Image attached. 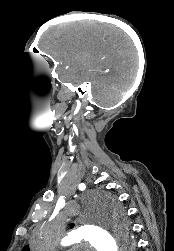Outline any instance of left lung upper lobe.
I'll return each instance as SVG.
<instances>
[{"label": "left lung upper lobe", "instance_id": "5c2ea615", "mask_svg": "<svg viewBox=\"0 0 174 251\" xmlns=\"http://www.w3.org/2000/svg\"><path fill=\"white\" fill-rule=\"evenodd\" d=\"M113 203H114V202H113ZM116 213H118V215H120V212H119L118 209H116ZM23 251H29V247H28V246L24 247V248H23Z\"/></svg>", "mask_w": 174, "mask_h": 251}]
</instances>
